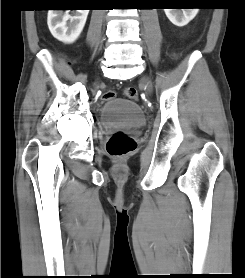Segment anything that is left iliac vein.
<instances>
[{"label": "left iliac vein", "mask_w": 245, "mask_h": 278, "mask_svg": "<svg viewBox=\"0 0 245 278\" xmlns=\"http://www.w3.org/2000/svg\"><path fill=\"white\" fill-rule=\"evenodd\" d=\"M142 82H144L147 85V89L150 92L151 91V84H150L149 79L147 77H143Z\"/></svg>", "instance_id": "1"}]
</instances>
